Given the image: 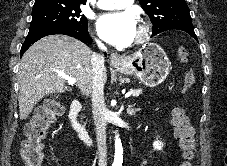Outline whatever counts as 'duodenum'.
I'll list each match as a JSON object with an SVG mask.
<instances>
[{
  "label": "duodenum",
  "instance_id": "obj_1",
  "mask_svg": "<svg viewBox=\"0 0 227 166\" xmlns=\"http://www.w3.org/2000/svg\"><path fill=\"white\" fill-rule=\"evenodd\" d=\"M82 110V103L79 100H73L70 104L69 110V121L71 122L72 127L77 132L78 137L84 141L89 146H92L94 139L90 136L87 130L80 123L78 116Z\"/></svg>",
  "mask_w": 227,
  "mask_h": 166
}]
</instances>
